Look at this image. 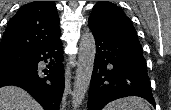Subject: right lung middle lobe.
Returning <instances> with one entry per match:
<instances>
[{
    "label": "right lung middle lobe",
    "mask_w": 171,
    "mask_h": 110,
    "mask_svg": "<svg viewBox=\"0 0 171 110\" xmlns=\"http://www.w3.org/2000/svg\"><path fill=\"white\" fill-rule=\"evenodd\" d=\"M29 52H2L0 53V71L10 70L29 62Z\"/></svg>",
    "instance_id": "right-lung-middle-lobe-1"
}]
</instances>
